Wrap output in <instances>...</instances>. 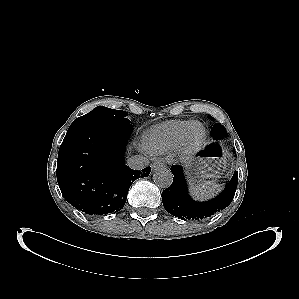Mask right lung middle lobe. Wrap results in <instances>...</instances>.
<instances>
[{
  "mask_svg": "<svg viewBox=\"0 0 299 299\" xmlns=\"http://www.w3.org/2000/svg\"><path fill=\"white\" fill-rule=\"evenodd\" d=\"M126 116L127 112L125 111L98 106L91 112L75 119L68 130L79 127L130 124V120Z\"/></svg>",
  "mask_w": 299,
  "mask_h": 299,
  "instance_id": "obj_1",
  "label": "right lung middle lobe"
}]
</instances>
